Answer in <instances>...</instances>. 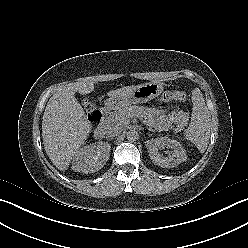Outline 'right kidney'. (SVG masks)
Segmentation results:
<instances>
[{"label": "right kidney", "instance_id": "right-kidney-1", "mask_svg": "<svg viewBox=\"0 0 248 248\" xmlns=\"http://www.w3.org/2000/svg\"><path fill=\"white\" fill-rule=\"evenodd\" d=\"M110 144L98 141L79 149L72 161V170L84 174L100 170L108 161Z\"/></svg>", "mask_w": 248, "mask_h": 248}]
</instances>
